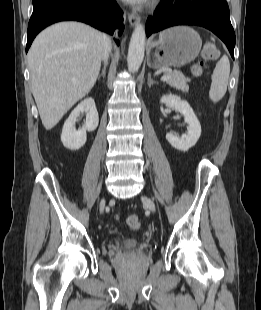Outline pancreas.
<instances>
[{
  "label": "pancreas",
  "instance_id": "pancreas-1",
  "mask_svg": "<svg viewBox=\"0 0 261 310\" xmlns=\"http://www.w3.org/2000/svg\"><path fill=\"white\" fill-rule=\"evenodd\" d=\"M165 75L170 76V78L166 80L168 85L183 92H188L189 86L187 85V82H189L190 79L185 77L181 72L176 70L166 71Z\"/></svg>",
  "mask_w": 261,
  "mask_h": 310
}]
</instances>
